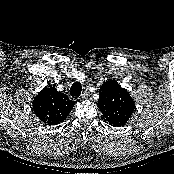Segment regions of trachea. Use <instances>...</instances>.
I'll return each mask as SVG.
<instances>
[{
  "label": "trachea",
  "mask_w": 174,
  "mask_h": 174,
  "mask_svg": "<svg viewBox=\"0 0 174 174\" xmlns=\"http://www.w3.org/2000/svg\"><path fill=\"white\" fill-rule=\"evenodd\" d=\"M82 91V85L79 82H74L70 89V94L72 97H79Z\"/></svg>",
  "instance_id": "1"
}]
</instances>
